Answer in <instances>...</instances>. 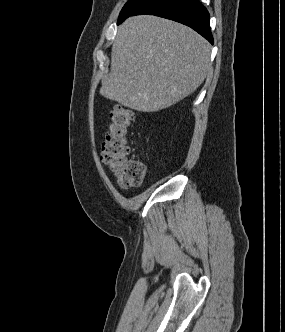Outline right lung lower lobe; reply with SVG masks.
I'll return each mask as SVG.
<instances>
[{"mask_svg":"<svg viewBox=\"0 0 285 332\" xmlns=\"http://www.w3.org/2000/svg\"><path fill=\"white\" fill-rule=\"evenodd\" d=\"M150 14L185 24L213 44L210 15L199 0H148L130 16Z\"/></svg>","mask_w":285,"mask_h":332,"instance_id":"98d812e1","label":"right lung lower lobe"}]
</instances>
